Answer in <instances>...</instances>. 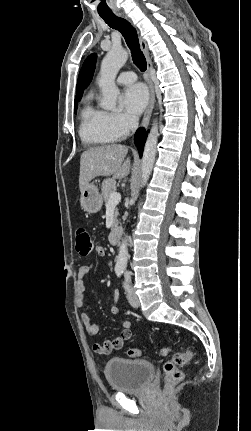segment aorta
<instances>
[{"instance_id": "1", "label": "aorta", "mask_w": 251, "mask_h": 431, "mask_svg": "<svg viewBox=\"0 0 251 431\" xmlns=\"http://www.w3.org/2000/svg\"><path fill=\"white\" fill-rule=\"evenodd\" d=\"M127 59L128 52L125 49L114 47L106 54L102 61L98 84L103 96L101 100V107L103 109L114 110L116 108L119 89L115 84V79ZM158 135V124L154 122L144 147L141 163V187L147 183L154 166ZM127 246V239H123L119 245V253L116 261L117 267L124 268L127 265Z\"/></svg>"}]
</instances>
